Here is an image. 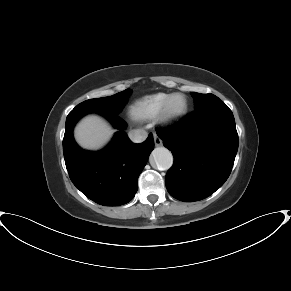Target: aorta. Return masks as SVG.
Returning <instances> with one entry per match:
<instances>
[{"label":"aorta","mask_w":291,"mask_h":291,"mask_svg":"<svg viewBox=\"0 0 291 291\" xmlns=\"http://www.w3.org/2000/svg\"><path fill=\"white\" fill-rule=\"evenodd\" d=\"M152 158L156 167L161 171L168 170L173 165V155L165 147H156L152 151Z\"/></svg>","instance_id":"aorta-1"}]
</instances>
